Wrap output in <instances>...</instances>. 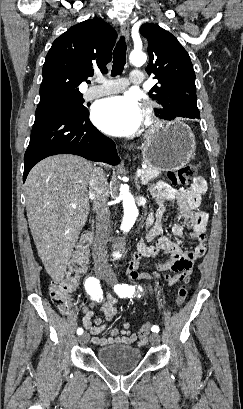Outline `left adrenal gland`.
<instances>
[{"instance_id":"1","label":"left adrenal gland","mask_w":243,"mask_h":409,"mask_svg":"<svg viewBox=\"0 0 243 409\" xmlns=\"http://www.w3.org/2000/svg\"><path fill=\"white\" fill-rule=\"evenodd\" d=\"M135 183H136L137 189H140V186L138 185V178L137 177L135 178Z\"/></svg>"}]
</instances>
